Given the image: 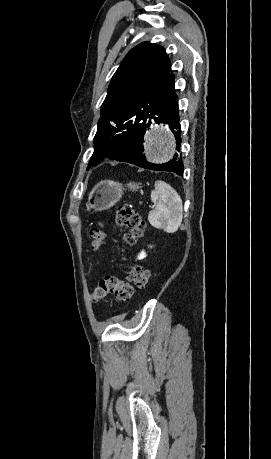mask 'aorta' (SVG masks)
Wrapping results in <instances>:
<instances>
[{"label":"aorta","mask_w":271,"mask_h":459,"mask_svg":"<svg viewBox=\"0 0 271 459\" xmlns=\"http://www.w3.org/2000/svg\"><path fill=\"white\" fill-rule=\"evenodd\" d=\"M175 152V143L169 132L164 127L155 128L150 135L146 152L147 160L153 162H164L170 160Z\"/></svg>","instance_id":"1"}]
</instances>
